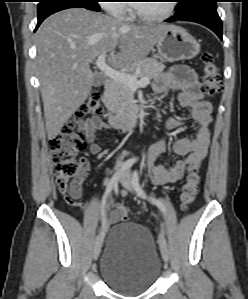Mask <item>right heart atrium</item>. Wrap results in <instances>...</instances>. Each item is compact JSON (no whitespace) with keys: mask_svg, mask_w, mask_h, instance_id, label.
<instances>
[{"mask_svg":"<svg viewBox=\"0 0 248 299\" xmlns=\"http://www.w3.org/2000/svg\"><path fill=\"white\" fill-rule=\"evenodd\" d=\"M123 0H104L102 2L103 8L106 12L114 16H121L126 14L127 6Z\"/></svg>","mask_w":248,"mask_h":299,"instance_id":"obj_1","label":"right heart atrium"}]
</instances>
